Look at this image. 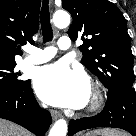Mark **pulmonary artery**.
<instances>
[{"label":"pulmonary artery","mask_w":136,"mask_h":136,"mask_svg":"<svg viewBox=\"0 0 136 136\" xmlns=\"http://www.w3.org/2000/svg\"><path fill=\"white\" fill-rule=\"evenodd\" d=\"M70 46L71 42L68 37H61L58 40V47L61 50L69 49ZM27 51L29 52V55L22 61L25 65L44 63L53 58L56 54V49L54 47H47L44 49L30 47Z\"/></svg>","instance_id":"pulmonary-artery-1"}]
</instances>
